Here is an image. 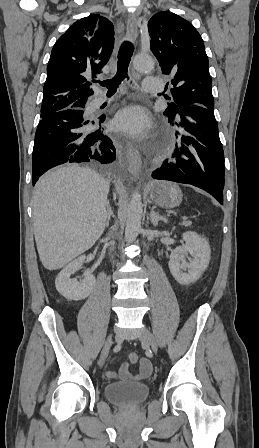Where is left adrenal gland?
Here are the masks:
<instances>
[{
	"label": "left adrenal gland",
	"instance_id": "a2214340",
	"mask_svg": "<svg viewBox=\"0 0 259 448\" xmlns=\"http://www.w3.org/2000/svg\"><path fill=\"white\" fill-rule=\"evenodd\" d=\"M150 218L153 226H158V222H160V220H162V222H165V224H167L168 222L165 216H159L158 212H154V210H151Z\"/></svg>",
	"mask_w": 259,
	"mask_h": 448
}]
</instances>
